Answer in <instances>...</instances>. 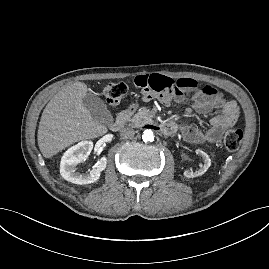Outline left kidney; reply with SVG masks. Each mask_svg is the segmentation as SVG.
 I'll use <instances>...</instances> for the list:
<instances>
[{
	"mask_svg": "<svg viewBox=\"0 0 269 269\" xmlns=\"http://www.w3.org/2000/svg\"><path fill=\"white\" fill-rule=\"evenodd\" d=\"M195 153L202 157L204 164L203 165L201 164L200 168L196 171H184L183 175L186 178H194V177L203 175L211 165V159L209 158L207 153H205L204 151L200 149L195 150Z\"/></svg>",
	"mask_w": 269,
	"mask_h": 269,
	"instance_id": "left-kidney-1",
	"label": "left kidney"
}]
</instances>
